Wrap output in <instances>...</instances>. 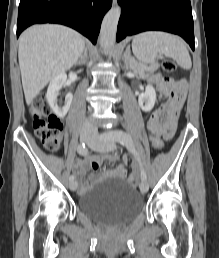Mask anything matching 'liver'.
Here are the masks:
<instances>
[{
	"label": "liver",
	"instance_id": "obj_1",
	"mask_svg": "<svg viewBox=\"0 0 219 258\" xmlns=\"http://www.w3.org/2000/svg\"><path fill=\"white\" fill-rule=\"evenodd\" d=\"M84 46L79 33L61 25H34L20 35L18 58L28 105L50 80L76 63Z\"/></svg>",
	"mask_w": 219,
	"mask_h": 258
}]
</instances>
